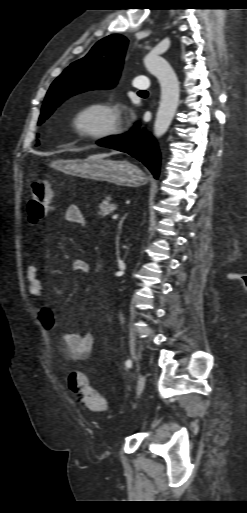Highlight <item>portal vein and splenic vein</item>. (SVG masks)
Listing matches in <instances>:
<instances>
[{
  "label": "portal vein and splenic vein",
  "instance_id": "18ae733b",
  "mask_svg": "<svg viewBox=\"0 0 247 513\" xmlns=\"http://www.w3.org/2000/svg\"><path fill=\"white\" fill-rule=\"evenodd\" d=\"M117 218H118V215H113V216H112V219H113V220H116ZM118 238H119V237H118Z\"/></svg>",
  "mask_w": 247,
  "mask_h": 513
}]
</instances>
